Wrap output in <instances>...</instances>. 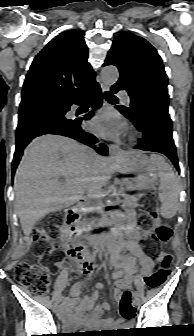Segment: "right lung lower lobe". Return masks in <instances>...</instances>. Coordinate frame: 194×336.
Returning <instances> with one entry per match:
<instances>
[{"label": "right lung lower lobe", "mask_w": 194, "mask_h": 336, "mask_svg": "<svg viewBox=\"0 0 194 336\" xmlns=\"http://www.w3.org/2000/svg\"><path fill=\"white\" fill-rule=\"evenodd\" d=\"M85 102H91L93 108H99L102 105L100 86L95 80L61 103L52 114L19 120L16 132V149L12 163V177L23 155L24 148L37 136L58 134L73 138L89 146H94L98 142L95 136L85 132L80 126L82 120H89L93 113H88L84 118L68 119L65 117L71 105ZM95 149L99 154H107L108 151L104 144H101V148Z\"/></svg>", "instance_id": "obj_1"}]
</instances>
